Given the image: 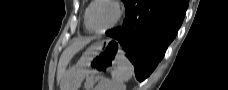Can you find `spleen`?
<instances>
[{"label": "spleen", "instance_id": "1", "mask_svg": "<svg viewBox=\"0 0 228 90\" xmlns=\"http://www.w3.org/2000/svg\"><path fill=\"white\" fill-rule=\"evenodd\" d=\"M134 73V67L131 62L125 57L123 51L117 55L116 68L111 72L114 82L123 83L130 80Z\"/></svg>", "mask_w": 228, "mask_h": 90}]
</instances>
